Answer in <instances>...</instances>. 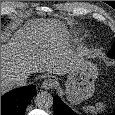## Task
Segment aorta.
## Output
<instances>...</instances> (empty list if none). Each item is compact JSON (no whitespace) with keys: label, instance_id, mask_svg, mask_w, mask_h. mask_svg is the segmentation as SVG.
Masks as SVG:
<instances>
[{"label":"aorta","instance_id":"aorta-1","mask_svg":"<svg viewBox=\"0 0 115 115\" xmlns=\"http://www.w3.org/2000/svg\"><path fill=\"white\" fill-rule=\"evenodd\" d=\"M35 104L41 109H48L53 105V97L49 92H39L35 97Z\"/></svg>","mask_w":115,"mask_h":115}]
</instances>
